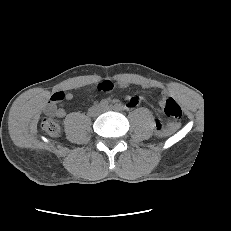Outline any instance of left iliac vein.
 <instances>
[{
	"mask_svg": "<svg viewBox=\"0 0 231 231\" xmlns=\"http://www.w3.org/2000/svg\"><path fill=\"white\" fill-rule=\"evenodd\" d=\"M106 109H108V110H112V109H113V107H111V106H110V107H108V108H106Z\"/></svg>",
	"mask_w": 231,
	"mask_h": 231,
	"instance_id": "1",
	"label": "left iliac vein"
}]
</instances>
